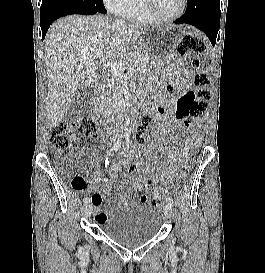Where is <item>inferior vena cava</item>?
<instances>
[{
  "instance_id": "602c4592",
  "label": "inferior vena cava",
  "mask_w": 265,
  "mask_h": 273,
  "mask_svg": "<svg viewBox=\"0 0 265 273\" xmlns=\"http://www.w3.org/2000/svg\"><path fill=\"white\" fill-rule=\"evenodd\" d=\"M115 22H116V23H118V24H122V23H124V21H123V20H116Z\"/></svg>"
}]
</instances>
